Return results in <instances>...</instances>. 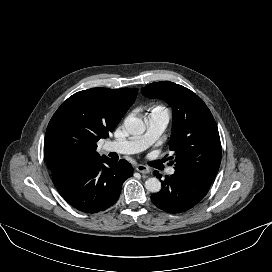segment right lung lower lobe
<instances>
[{
    "label": "right lung lower lobe",
    "instance_id": "1",
    "mask_svg": "<svg viewBox=\"0 0 272 272\" xmlns=\"http://www.w3.org/2000/svg\"><path fill=\"white\" fill-rule=\"evenodd\" d=\"M133 175L125 160L106 156L84 166L52 175L60 195L73 207L85 213L106 210L118 200L123 182Z\"/></svg>",
    "mask_w": 272,
    "mask_h": 272
}]
</instances>
